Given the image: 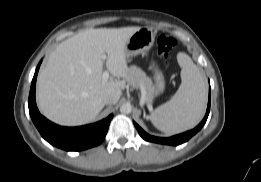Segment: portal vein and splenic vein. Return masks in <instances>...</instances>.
Instances as JSON below:
<instances>
[{"label":"portal vein and splenic vein","instance_id":"obj_1","mask_svg":"<svg viewBox=\"0 0 261 182\" xmlns=\"http://www.w3.org/2000/svg\"><path fill=\"white\" fill-rule=\"evenodd\" d=\"M103 58L106 59V55H103ZM102 78L104 81H107L109 79V72L107 70L103 72Z\"/></svg>","mask_w":261,"mask_h":182}]
</instances>
